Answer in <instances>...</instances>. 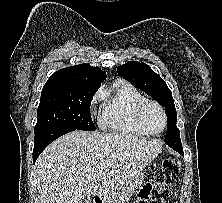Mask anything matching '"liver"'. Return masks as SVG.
Masks as SVG:
<instances>
[{"mask_svg":"<svg viewBox=\"0 0 222 203\" xmlns=\"http://www.w3.org/2000/svg\"><path fill=\"white\" fill-rule=\"evenodd\" d=\"M162 143L132 134L75 130L52 142L36 161L40 203H80L119 195L158 156Z\"/></svg>","mask_w":222,"mask_h":203,"instance_id":"1","label":"liver"}]
</instances>
